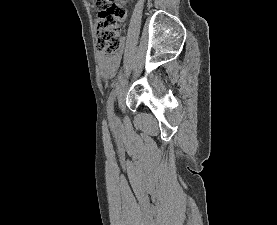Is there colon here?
Segmentation results:
<instances>
[{
	"mask_svg": "<svg viewBox=\"0 0 277 225\" xmlns=\"http://www.w3.org/2000/svg\"><path fill=\"white\" fill-rule=\"evenodd\" d=\"M92 9L98 12L95 35L98 50L104 55H114L122 48L121 26L126 10L114 0H89Z\"/></svg>",
	"mask_w": 277,
	"mask_h": 225,
	"instance_id": "1",
	"label": "colon"
}]
</instances>
